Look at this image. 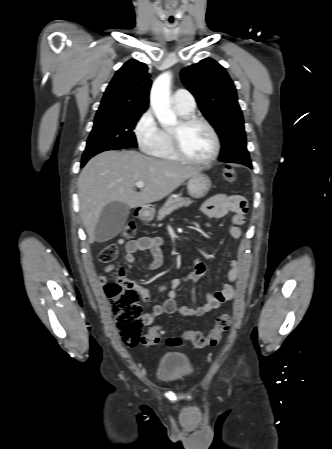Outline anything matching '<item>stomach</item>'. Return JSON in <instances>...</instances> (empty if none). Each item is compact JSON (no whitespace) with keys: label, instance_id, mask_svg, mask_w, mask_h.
<instances>
[{"label":"stomach","instance_id":"1","mask_svg":"<svg viewBox=\"0 0 332 449\" xmlns=\"http://www.w3.org/2000/svg\"><path fill=\"white\" fill-rule=\"evenodd\" d=\"M187 188L191 197L200 199L206 196L209 192L211 188V180L207 175L199 172L189 178ZM140 216L143 220L149 221L154 217V210L144 209Z\"/></svg>","mask_w":332,"mask_h":449}]
</instances>
